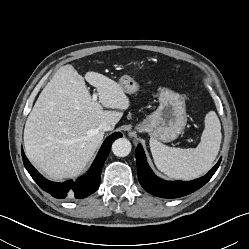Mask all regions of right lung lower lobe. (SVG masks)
Listing matches in <instances>:
<instances>
[{
	"instance_id": "right-lung-lower-lobe-1",
	"label": "right lung lower lobe",
	"mask_w": 249,
	"mask_h": 249,
	"mask_svg": "<svg viewBox=\"0 0 249 249\" xmlns=\"http://www.w3.org/2000/svg\"><path fill=\"white\" fill-rule=\"evenodd\" d=\"M119 137H121V133L117 132L106 138L88 173L79 178L76 182L72 180L64 183L48 181L31 165L22 149L24 166L39 187L52 196L59 199L73 197L82 199L94 193L99 187L103 164L109 154L111 144Z\"/></svg>"
}]
</instances>
